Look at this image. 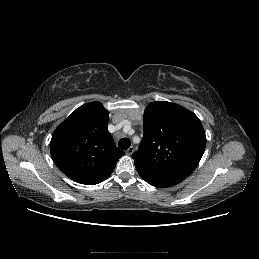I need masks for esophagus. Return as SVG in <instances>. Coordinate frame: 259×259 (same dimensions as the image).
<instances>
[{
	"instance_id": "obj_1",
	"label": "esophagus",
	"mask_w": 259,
	"mask_h": 259,
	"mask_svg": "<svg viewBox=\"0 0 259 259\" xmlns=\"http://www.w3.org/2000/svg\"><path fill=\"white\" fill-rule=\"evenodd\" d=\"M133 152H134V147H129L127 150H126V154L127 155H132L133 154Z\"/></svg>"
}]
</instances>
